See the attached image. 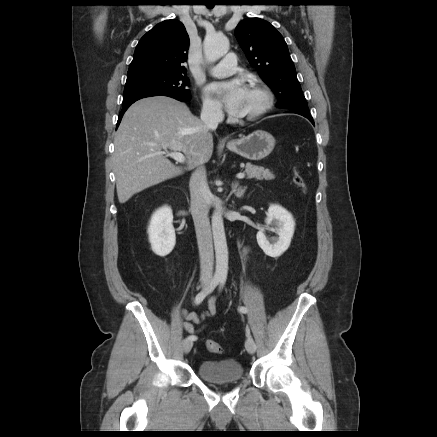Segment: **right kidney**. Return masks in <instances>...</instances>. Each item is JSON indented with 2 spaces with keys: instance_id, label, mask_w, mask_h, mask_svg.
Here are the masks:
<instances>
[{
  "instance_id": "obj_1",
  "label": "right kidney",
  "mask_w": 437,
  "mask_h": 437,
  "mask_svg": "<svg viewBox=\"0 0 437 437\" xmlns=\"http://www.w3.org/2000/svg\"><path fill=\"white\" fill-rule=\"evenodd\" d=\"M172 222V209L168 206L159 208L151 217L147 231L149 242L152 251L160 257L170 254L176 244Z\"/></svg>"
}]
</instances>
